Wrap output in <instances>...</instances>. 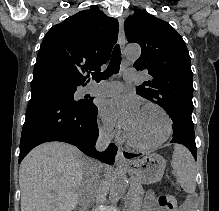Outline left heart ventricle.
Listing matches in <instances>:
<instances>
[{"label": "left heart ventricle", "instance_id": "left-heart-ventricle-1", "mask_svg": "<svg viewBox=\"0 0 219 211\" xmlns=\"http://www.w3.org/2000/svg\"><path fill=\"white\" fill-rule=\"evenodd\" d=\"M166 121L162 113L155 108L140 110L133 127L128 131L131 137L140 143H153L165 133Z\"/></svg>", "mask_w": 219, "mask_h": 211}]
</instances>
